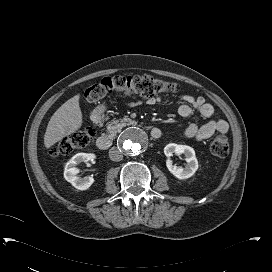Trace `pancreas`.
<instances>
[{
    "mask_svg": "<svg viewBox=\"0 0 272 272\" xmlns=\"http://www.w3.org/2000/svg\"><path fill=\"white\" fill-rule=\"evenodd\" d=\"M132 123L133 121L130 118L115 120L107 126L108 133L111 137H114L118 132L122 130L123 127L130 125Z\"/></svg>",
    "mask_w": 272,
    "mask_h": 272,
    "instance_id": "cf45deb5",
    "label": "pancreas"
}]
</instances>
